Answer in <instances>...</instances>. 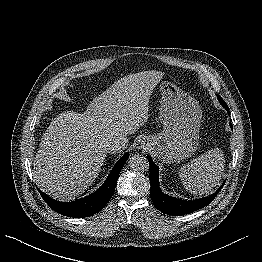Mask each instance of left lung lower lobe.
<instances>
[{
  "instance_id": "obj_1",
  "label": "left lung lower lobe",
  "mask_w": 262,
  "mask_h": 262,
  "mask_svg": "<svg viewBox=\"0 0 262 262\" xmlns=\"http://www.w3.org/2000/svg\"><path fill=\"white\" fill-rule=\"evenodd\" d=\"M229 113L227 105L223 106ZM231 129H233L232 124L230 123ZM150 165V196L155 207L161 212L169 215L181 216L185 214L192 213L196 210L203 208L204 206L211 203L214 198L217 196L224 184L220 188L209 195L208 197L196 199V200H182L169 195L164 194L159 187V169L156 164L152 161L151 157L147 156Z\"/></svg>"
}]
</instances>
